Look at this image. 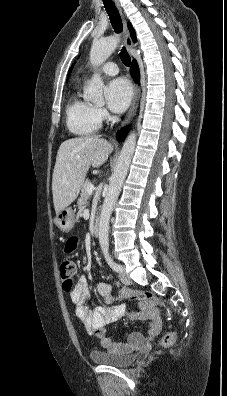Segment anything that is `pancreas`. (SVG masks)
Here are the masks:
<instances>
[{
    "instance_id": "obj_1",
    "label": "pancreas",
    "mask_w": 227,
    "mask_h": 396,
    "mask_svg": "<svg viewBox=\"0 0 227 396\" xmlns=\"http://www.w3.org/2000/svg\"><path fill=\"white\" fill-rule=\"evenodd\" d=\"M90 185H92L91 181H90V180H86V181L84 182L83 186H82L81 195H80V198L78 199V206H79V208H83V207L86 205V203H87V200H88V198H89V196H90V195L87 193V188H88Z\"/></svg>"
}]
</instances>
